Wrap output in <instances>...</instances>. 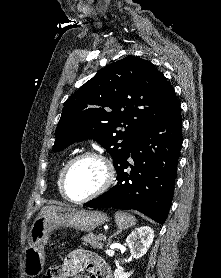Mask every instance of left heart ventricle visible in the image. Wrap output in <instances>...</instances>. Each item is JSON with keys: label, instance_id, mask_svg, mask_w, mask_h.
I'll list each match as a JSON object with an SVG mask.
<instances>
[{"label": "left heart ventricle", "instance_id": "1", "mask_svg": "<svg viewBox=\"0 0 221 278\" xmlns=\"http://www.w3.org/2000/svg\"><path fill=\"white\" fill-rule=\"evenodd\" d=\"M104 179V168L94 158H84L72 165L66 190L72 199H81L96 190Z\"/></svg>", "mask_w": 221, "mask_h": 278}]
</instances>
